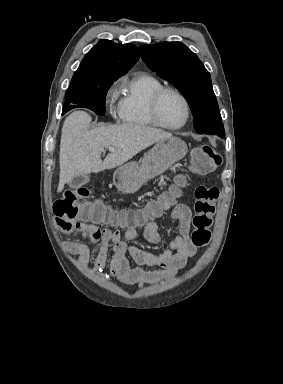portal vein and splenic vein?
I'll use <instances>...</instances> for the list:
<instances>
[{"instance_id":"portal-vein-and-splenic-vein-1","label":"portal vein and splenic vein","mask_w":283,"mask_h":384,"mask_svg":"<svg viewBox=\"0 0 283 384\" xmlns=\"http://www.w3.org/2000/svg\"><path fill=\"white\" fill-rule=\"evenodd\" d=\"M110 152H115L114 148H109Z\"/></svg>"}]
</instances>
